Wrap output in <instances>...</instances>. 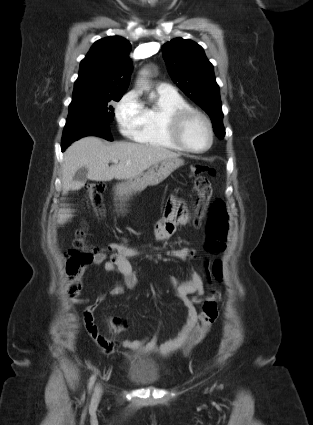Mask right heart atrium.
<instances>
[{"mask_svg": "<svg viewBox=\"0 0 313 425\" xmlns=\"http://www.w3.org/2000/svg\"><path fill=\"white\" fill-rule=\"evenodd\" d=\"M115 117L124 135L133 137L139 131L143 123V105L135 91L126 93L116 104Z\"/></svg>", "mask_w": 313, "mask_h": 425, "instance_id": "obj_1", "label": "right heart atrium"}]
</instances>
